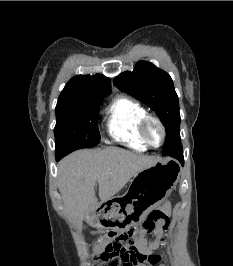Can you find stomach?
I'll list each match as a JSON object with an SVG mask.
<instances>
[{
  "mask_svg": "<svg viewBox=\"0 0 233 266\" xmlns=\"http://www.w3.org/2000/svg\"><path fill=\"white\" fill-rule=\"evenodd\" d=\"M168 166H177V161H158L136 173L131 181L132 188L108 199V204H100V212L92 216L96 226L112 228V232H131V228H139V216L161 204L171 186L177 185L181 167Z\"/></svg>",
  "mask_w": 233,
  "mask_h": 266,
  "instance_id": "0dacf381",
  "label": "stomach"
}]
</instances>
